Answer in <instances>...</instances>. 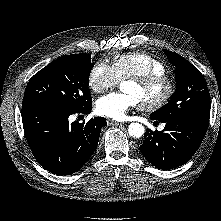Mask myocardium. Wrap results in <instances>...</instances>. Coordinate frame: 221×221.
Here are the masks:
<instances>
[{
	"label": "myocardium",
	"mask_w": 221,
	"mask_h": 221,
	"mask_svg": "<svg viewBox=\"0 0 221 221\" xmlns=\"http://www.w3.org/2000/svg\"><path fill=\"white\" fill-rule=\"evenodd\" d=\"M129 81L135 83L140 88L146 89L157 84H163L165 91L163 95L151 103H138V108L146 112H154L164 107L172 98L175 92L174 81L165 73L164 74H151L141 77H131Z\"/></svg>",
	"instance_id": "f54148a6"
}]
</instances>
